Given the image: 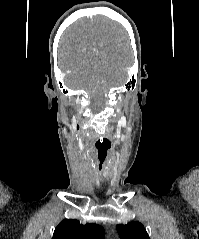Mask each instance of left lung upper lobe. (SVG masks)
<instances>
[{"label":"left lung upper lobe","mask_w":199,"mask_h":239,"mask_svg":"<svg viewBox=\"0 0 199 239\" xmlns=\"http://www.w3.org/2000/svg\"><path fill=\"white\" fill-rule=\"evenodd\" d=\"M120 239H150L144 226L139 222L117 225Z\"/></svg>","instance_id":"1"}]
</instances>
